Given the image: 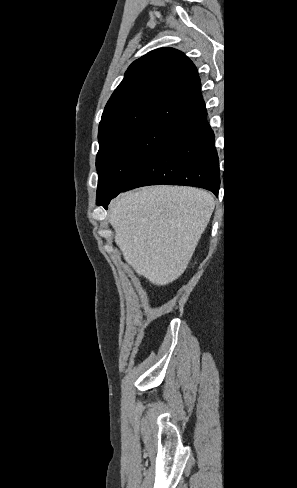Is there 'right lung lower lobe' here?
Returning <instances> with one entry per match:
<instances>
[{"label":"right lung lower lobe","mask_w":297,"mask_h":488,"mask_svg":"<svg viewBox=\"0 0 297 488\" xmlns=\"http://www.w3.org/2000/svg\"><path fill=\"white\" fill-rule=\"evenodd\" d=\"M206 116L205 112L172 130L121 191L147 185L173 184L201 187L218 196L219 159L214 146V133ZM109 202L101 206L107 209Z\"/></svg>","instance_id":"1"}]
</instances>
